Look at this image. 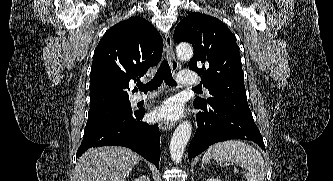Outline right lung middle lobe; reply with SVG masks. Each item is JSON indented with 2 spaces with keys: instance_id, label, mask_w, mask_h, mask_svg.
Returning <instances> with one entry per match:
<instances>
[{
  "instance_id": "1",
  "label": "right lung middle lobe",
  "mask_w": 333,
  "mask_h": 181,
  "mask_svg": "<svg viewBox=\"0 0 333 181\" xmlns=\"http://www.w3.org/2000/svg\"><path fill=\"white\" fill-rule=\"evenodd\" d=\"M131 111V105L129 100L115 102L103 107L89 110L87 126L101 123L118 114Z\"/></svg>"
}]
</instances>
